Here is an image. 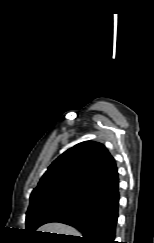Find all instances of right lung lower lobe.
Segmentation results:
<instances>
[{
	"instance_id": "obj_1",
	"label": "right lung lower lobe",
	"mask_w": 154,
	"mask_h": 243,
	"mask_svg": "<svg viewBox=\"0 0 154 243\" xmlns=\"http://www.w3.org/2000/svg\"><path fill=\"white\" fill-rule=\"evenodd\" d=\"M119 184L117 183L84 204L66 208L46 222H61L78 229L83 237L77 243H117L115 230L118 218Z\"/></svg>"
}]
</instances>
